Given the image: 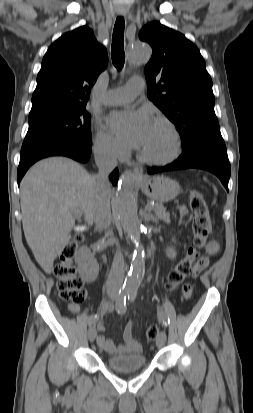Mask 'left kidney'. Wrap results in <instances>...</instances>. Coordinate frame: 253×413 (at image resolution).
<instances>
[{"label": "left kidney", "instance_id": "left-kidney-1", "mask_svg": "<svg viewBox=\"0 0 253 413\" xmlns=\"http://www.w3.org/2000/svg\"><path fill=\"white\" fill-rule=\"evenodd\" d=\"M172 241L175 242V239L173 238ZM166 255H167L168 258L174 259V258L176 257V250H175V248L172 247V246H171V247H168V248L166 249Z\"/></svg>", "mask_w": 253, "mask_h": 413}]
</instances>
